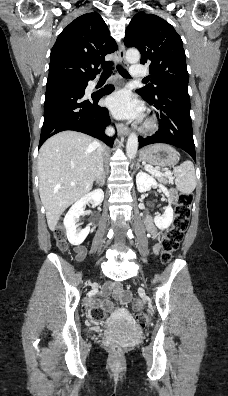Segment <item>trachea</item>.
<instances>
[{
  "instance_id": "obj_1",
  "label": "trachea",
  "mask_w": 228,
  "mask_h": 396,
  "mask_svg": "<svg viewBox=\"0 0 228 396\" xmlns=\"http://www.w3.org/2000/svg\"><path fill=\"white\" fill-rule=\"evenodd\" d=\"M117 69L121 76H123L125 78H130L129 73L122 66L118 65ZM111 73H112V67H110V66L103 67L102 76H110ZM143 81H147V79H143Z\"/></svg>"
}]
</instances>
